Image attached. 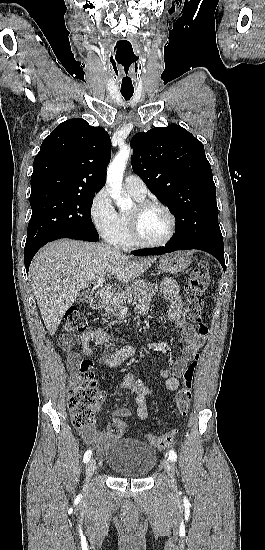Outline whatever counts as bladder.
Wrapping results in <instances>:
<instances>
[{"label": "bladder", "mask_w": 265, "mask_h": 550, "mask_svg": "<svg viewBox=\"0 0 265 550\" xmlns=\"http://www.w3.org/2000/svg\"><path fill=\"white\" fill-rule=\"evenodd\" d=\"M157 451L147 443L136 439H111L105 452L108 467L119 476L144 478L157 463Z\"/></svg>", "instance_id": "1"}]
</instances>
